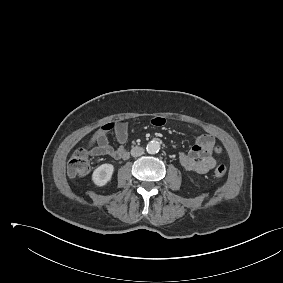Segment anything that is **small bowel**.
<instances>
[{"label": "small bowel", "instance_id": "small-bowel-1", "mask_svg": "<svg viewBox=\"0 0 283 283\" xmlns=\"http://www.w3.org/2000/svg\"><path fill=\"white\" fill-rule=\"evenodd\" d=\"M152 124L162 126L165 124V119L155 117L152 119ZM109 132H114L119 144L118 147L114 148L109 144ZM127 140L128 125L126 122L105 123L94 133L91 139L90 153L96 157L110 156L115 159H126L129 156L126 147ZM221 151L212 135L203 134L197 137L195 145L190 150L179 154V161L184 169L203 174L216 166L217 160L215 156L220 154Z\"/></svg>", "mask_w": 283, "mask_h": 283}]
</instances>
